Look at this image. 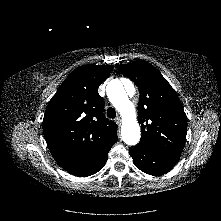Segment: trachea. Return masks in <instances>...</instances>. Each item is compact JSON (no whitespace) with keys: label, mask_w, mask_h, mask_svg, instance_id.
I'll return each mask as SVG.
<instances>
[{"label":"trachea","mask_w":221,"mask_h":221,"mask_svg":"<svg viewBox=\"0 0 221 221\" xmlns=\"http://www.w3.org/2000/svg\"><path fill=\"white\" fill-rule=\"evenodd\" d=\"M107 116H108L109 118H115V117H116V111H115V109L112 108V107L108 108V110H107Z\"/></svg>","instance_id":"3493384b"}]
</instances>
